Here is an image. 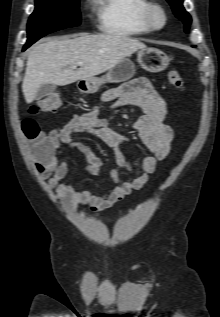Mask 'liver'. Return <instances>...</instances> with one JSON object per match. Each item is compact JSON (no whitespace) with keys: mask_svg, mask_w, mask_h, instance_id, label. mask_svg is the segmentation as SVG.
Wrapping results in <instances>:
<instances>
[{"mask_svg":"<svg viewBox=\"0 0 220 317\" xmlns=\"http://www.w3.org/2000/svg\"><path fill=\"white\" fill-rule=\"evenodd\" d=\"M144 48L146 45L137 39L107 34H80L72 39L63 37L36 45L29 52L22 83L25 101L32 103L44 84L65 86L92 78ZM79 62L83 66L72 70Z\"/></svg>","mask_w":220,"mask_h":317,"instance_id":"liver-1","label":"liver"}]
</instances>
